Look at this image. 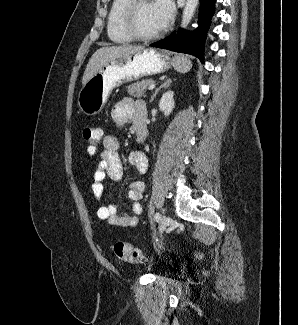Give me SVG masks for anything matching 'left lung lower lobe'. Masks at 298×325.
<instances>
[{"label": "left lung lower lobe", "instance_id": "1", "mask_svg": "<svg viewBox=\"0 0 298 325\" xmlns=\"http://www.w3.org/2000/svg\"><path fill=\"white\" fill-rule=\"evenodd\" d=\"M199 27L193 32L179 30L168 37L151 44L152 47L188 53L198 57L204 63V42L210 19L214 14L216 0H200Z\"/></svg>", "mask_w": 298, "mask_h": 325}]
</instances>
